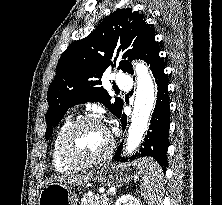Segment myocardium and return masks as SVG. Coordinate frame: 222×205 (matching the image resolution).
I'll use <instances>...</instances> for the list:
<instances>
[{
  "mask_svg": "<svg viewBox=\"0 0 222 205\" xmlns=\"http://www.w3.org/2000/svg\"><path fill=\"white\" fill-rule=\"evenodd\" d=\"M85 124H99L104 127L103 123L95 117H91V116L79 117V118H76L75 120H73L67 126V128L63 131V133L60 137V141H59V153H60L61 159L63 160L64 163H66L70 166L77 167V168L95 166V165H98V164L104 162L105 160H107L110 157V155L112 154L113 149H114L113 136L107 130L108 138H109L108 145L103 153H101L99 156L91 158V159H80L76 156H73L67 147V141H68L69 137L71 136V134L77 128H79L80 126L85 125Z\"/></svg>",
  "mask_w": 222,
  "mask_h": 205,
  "instance_id": "obj_1",
  "label": "myocardium"
}]
</instances>
